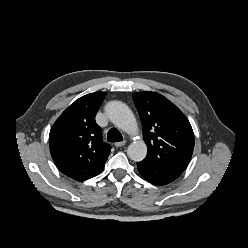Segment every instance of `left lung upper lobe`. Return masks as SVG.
Wrapping results in <instances>:
<instances>
[{
    "label": "left lung upper lobe",
    "mask_w": 248,
    "mask_h": 248,
    "mask_svg": "<svg viewBox=\"0 0 248 248\" xmlns=\"http://www.w3.org/2000/svg\"><path fill=\"white\" fill-rule=\"evenodd\" d=\"M133 98L148 147L144 160L183 172L194 149V133L186 116L156 92H136Z\"/></svg>",
    "instance_id": "1"
}]
</instances>
